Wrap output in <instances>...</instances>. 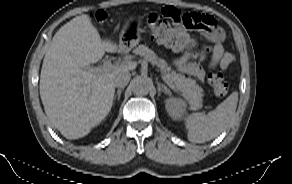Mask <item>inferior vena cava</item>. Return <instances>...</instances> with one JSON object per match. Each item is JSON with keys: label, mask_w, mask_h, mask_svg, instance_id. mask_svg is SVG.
<instances>
[{"label": "inferior vena cava", "mask_w": 292, "mask_h": 184, "mask_svg": "<svg viewBox=\"0 0 292 184\" xmlns=\"http://www.w3.org/2000/svg\"><path fill=\"white\" fill-rule=\"evenodd\" d=\"M131 78V74L129 72H120L114 78V86L118 88H124L127 86Z\"/></svg>", "instance_id": "1"}]
</instances>
